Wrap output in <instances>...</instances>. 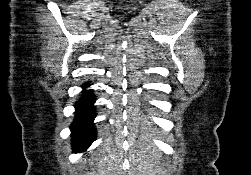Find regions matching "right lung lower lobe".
I'll use <instances>...</instances> for the list:
<instances>
[{
    "label": "right lung lower lobe",
    "instance_id": "obj_1",
    "mask_svg": "<svg viewBox=\"0 0 251 175\" xmlns=\"http://www.w3.org/2000/svg\"><path fill=\"white\" fill-rule=\"evenodd\" d=\"M86 86V84L83 85V96L76 103V117L70 126L74 152L86 150L96 136V129L93 124V119L96 115L93 106L95 96L90 90H85Z\"/></svg>",
    "mask_w": 251,
    "mask_h": 175
}]
</instances>
